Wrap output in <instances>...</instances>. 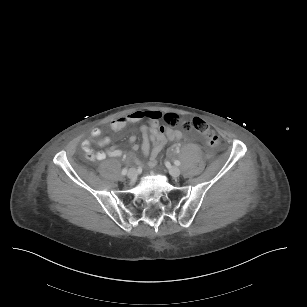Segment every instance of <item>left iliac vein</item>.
Instances as JSON below:
<instances>
[{
	"label": "left iliac vein",
	"instance_id": "obj_1",
	"mask_svg": "<svg viewBox=\"0 0 307 307\" xmlns=\"http://www.w3.org/2000/svg\"><path fill=\"white\" fill-rule=\"evenodd\" d=\"M169 174L173 177V178H178L180 176V170L178 167L176 166H172L169 168Z\"/></svg>",
	"mask_w": 307,
	"mask_h": 307
}]
</instances>
